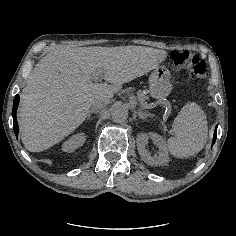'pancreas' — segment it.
Returning <instances> with one entry per match:
<instances>
[{"label": "pancreas", "mask_w": 236, "mask_h": 236, "mask_svg": "<svg viewBox=\"0 0 236 236\" xmlns=\"http://www.w3.org/2000/svg\"><path fill=\"white\" fill-rule=\"evenodd\" d=\"M126 91V90H125ZM144 107L146 108H151V105L150 104H145Z\"/></svg>", "instance_id": "cf45deb5"}]
</instances>
